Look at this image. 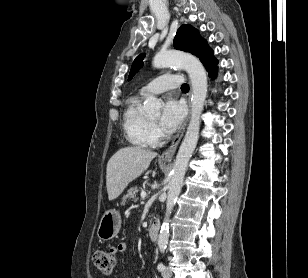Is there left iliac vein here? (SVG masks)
<instances>
[{"mask_svg":"<svg viewBox=\"0 0 308 278\" xmlns=\"http://www.w3.org/2000/svg\"><path fill=\"white\" fill-rule=\"evenodd\" d=\"M162 276L163 278H171L172 277V271L169 267H166L163 271H162Z\"/></svg>","mask_w":308,"mask_h":278,"instance_id":"1","label":"left iliac vein"}]
</instances>
